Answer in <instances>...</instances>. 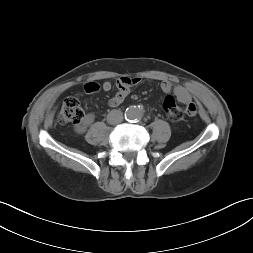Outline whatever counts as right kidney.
Masks as SVG:
<instances>
[{
    "mask_svg": "<svg viewBox=\"0 0 253 253\" xmlns=\"http://www.w3.org/2000/svg\"><path fill=\"white\" fill-rule=\"evenodd\" d=\"M94 121V115L93 114H88L84 119L83 122L77 126L76 131L78 133H84L92 122Z\"/></svg>",
    "mask_w": 253,
    "mask_h": 253,
    "instance_id": "obj_1",
    "label": "right kidney"
}]
</instances>
